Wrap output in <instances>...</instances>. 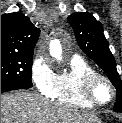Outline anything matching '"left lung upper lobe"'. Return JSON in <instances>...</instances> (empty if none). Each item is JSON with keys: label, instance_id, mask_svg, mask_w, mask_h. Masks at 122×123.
I'll list each match as a JSON object with an SVG mask.
<instances>
[{"label": "left lung upper lobe", "instance_id": "1", "mask_svg": "<svg viewBox=\"0 0 122 123\" xmlns=\"http://www.w3.org/2000/svg\"><path fill=\"white\" fill-rule=\"evenodd\" d=\"M79 47L99 65L117 90L114 110L122 113V81L114 56L103 33L102 24L92 14L75 12L67 18Z\"/></svg>", "mask_w": 122, "mask_h": 123}]
</instances>
